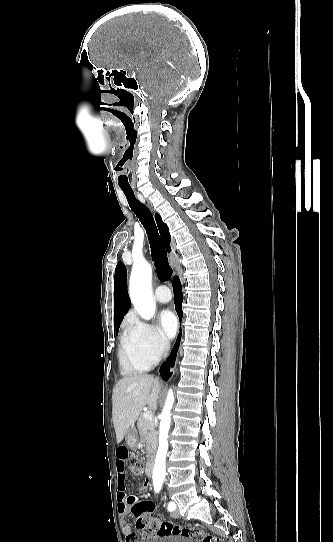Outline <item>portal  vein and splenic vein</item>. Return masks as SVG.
Masks as SVG:
<instances>
[{
    "instance_id": "1",
    "label": "portal vein and splenic vein",
    "mask_w": 333,
    "mask_h": 542,
    "mask_svg": "<svg viewBox=\"0 0 333 542\" xmlns=\"http://www.w3.org/2000/svg\"><path fill=\"white\" fill-rule=\"evenodd\" d=\"M143 418H145V420H152L153 412H144Z\"/></svg>"
}]
</instances>
